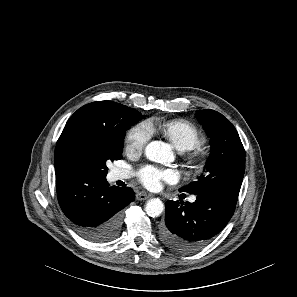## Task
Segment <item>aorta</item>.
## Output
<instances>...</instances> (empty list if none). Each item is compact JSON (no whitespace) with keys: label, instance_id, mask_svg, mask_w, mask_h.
<instances>
[{"label":"aorta","instance_id":"aorta-1","mask_svg":"<svg viewBox=\"0 0 297 297\" xmlns=\"http://www.w3.org/2000/svg\"><path fill=\"white\" fill-rule=\"evenodd\" d=\"M146 157L154 162L165 163L171 157V149L168 145L160 142L153 141L145 148ZM164 210L163 202L158 198H152L147 201L145 211L150 217H158Z\"/></svg>","mask_w":297,"mask_h":297}]
</instances>
